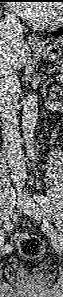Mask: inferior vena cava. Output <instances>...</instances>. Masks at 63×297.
Wrapping results in <instances>:
<instances>
[{
	"instance_id": "1",
	"label": "inferior vena cava",
	"mask_w": 63,
	"mask_h": 297,
	"mask_svg": "<svg viewBox=\"0 0 63 297\" xmlns=\"http://www.w3.org/2000/svg\"><path fill=\"white\" fill-rule=\"evenodd\" d=\"M24 27L11 14L5 15L0 22V34L15 44L23 42ZM0 112L3 121L4 140L8 150V158L12 171L19 178L25 174L24 159L20 144L18 127V78L17 71L10 67L1 66L0 69Z\"/></svg>"
}]
</instances>
